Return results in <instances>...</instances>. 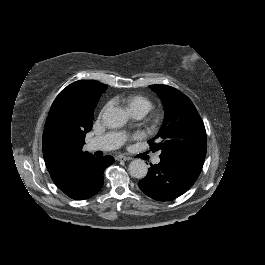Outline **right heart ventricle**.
Returning a JSON list of instances; mask_svg holds the SVG:
<instances>
[{
  "instance_id": "e07e8e85",
  "label": "right heart ventricle",
  "mask_w": 265,
  "mask_h": 265,
  "mask_svg": "<svg viewBox=\"0 0 265 265\" xmlns=\"http://www.w3.org/2000/svg\"><path fill=\"white\" fill-rule=\"evenodd\" d=\"M114 102L124 105L133 115L144 116L152 109V102L146 96L128 90L116 94Z\"/></svg>"
}]
</instances>
